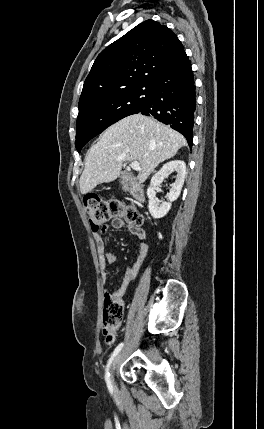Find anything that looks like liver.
<instances>
[{"mask_svg":"<svg viewBox=\"0 0 264 429\" xmlns=\"http://www.w3.org/2000/svg\"><path fill=\"white\" fill-rule=\"evenodd\" d=\"M187 144L177 131L142 114L125 117L107 128L91 147L80 177V191L87 194L104 182L115 180L123 162L138 161L135 181L143 183L159 163L172 158Z\"/></svg>","mask_w":264,"mask_h":429,"instance_id":"6515ba94","label":"liver"}]
</instances>
